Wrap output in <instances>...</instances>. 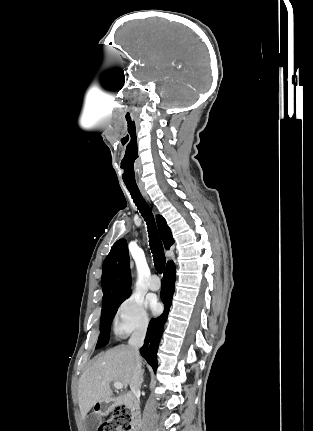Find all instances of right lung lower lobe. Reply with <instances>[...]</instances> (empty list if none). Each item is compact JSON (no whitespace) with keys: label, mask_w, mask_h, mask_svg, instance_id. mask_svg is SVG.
<instances>
[{"label":"right lung lower lobe","mask_w":313,"mask_h":431,"mask_svg":"<svg viewBox=\"0 0 313 431\" xmlns=\"http://www.w3.org/2000/svg\"><path fill=\"white\" fill-rule=\"evenodd\" d=\"M175 265L172 261L168 262L162 279L161 298L165 309L163 314L149 323L143 347L140 349L141 355L146 359L154 371L157 369V350L162 337L164 324L167 320L169 308L172 303V296L175 288Z\"/></svg>","instance_id":"obj_1"}]
</instances>
